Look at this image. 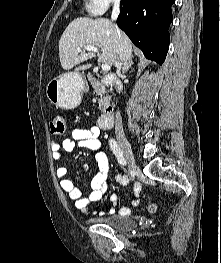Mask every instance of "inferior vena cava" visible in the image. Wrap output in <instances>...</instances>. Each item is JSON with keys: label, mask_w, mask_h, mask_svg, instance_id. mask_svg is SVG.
<instances>
[{"label": "inferior vena cava", "mask_w": 221, "mask_h": 263, "mask_svg": "<svg viewBox=\"0 0 221 263\" xmlns=\"http://www.w3.org/2000/svg\"><path fill=\"white\" fill-rule=\"evenodd\" d=\"M119 6H120V0H113V9H112V14H111V19L113 21H115L118 17L119 14ZM115 66H116V72L118 76H121V66H122V61L121 59L118 57L115 61ZM116 119H115V134L118 137H123L124 136V132H123V126H122V117L121 114L119 112V110H117L116 112Z\"/></svg>", "instance_id": "inferior-vena-cava-1"}]
</instances>
